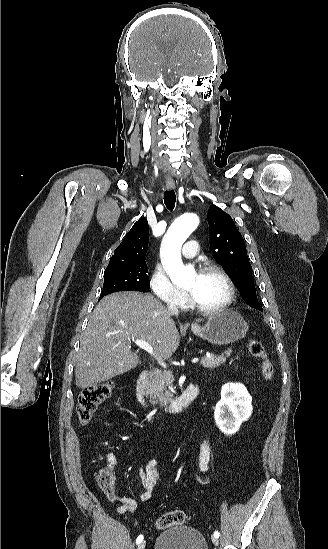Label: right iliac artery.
Segmentation results:
<instances>
[{
  "label": "right iliac artery",
  "instance_id": "right-iliac-artery-1",
  "mask_svg": "<svg viewBox=\"0 0 328 549\" xmlns=\"http://www.w3.org/2000/svg\"><path fill=\"white\" fill-rule=\"evenodd\" d=\"M143 535H139L136 539V543L139 544L143 540Z\"/></svg>",
  "mask_w": 328,
  "mask_h": 549
}]
</instances>
